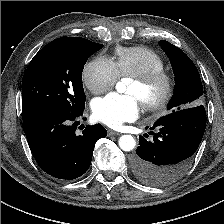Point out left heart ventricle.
I'll return each mask as SVG.
<instances>
[{"label": "left heart ventricle", "instance_id": "obj_1", "mask_svg": "<svg viewBox=\"0 0 224 224\" xmlns=\"http://www.w3.org/2000/svg\"><path fill=\"white\" fill-rule=\"evenodd\" d=\"M161 90V85H156L150 90H147L143 88L139 83L136 81H132L131 84L129 85L127 92L129 94L135 95L141 99V101L144 100L148 95H157Z\"/></svg>", "mask_w": 224, "mask_h": 224}]
</instances>
